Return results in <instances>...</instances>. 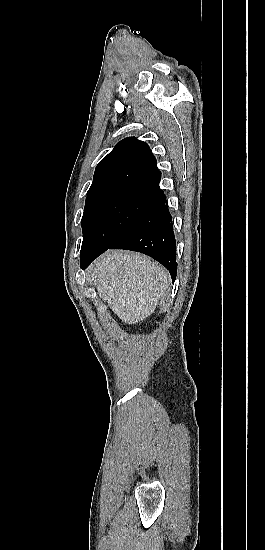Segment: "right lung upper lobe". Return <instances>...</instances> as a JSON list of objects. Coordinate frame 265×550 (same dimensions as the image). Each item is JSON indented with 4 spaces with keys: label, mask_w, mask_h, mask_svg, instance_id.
I'll list each match as a JSON object with an SVG mask.
<instances>
[{
    "label": "right lung upper lobe",
    "mask_w": 265,
    "mask_h": 550,
    "mask_svg": "<svg viewBox=\"0 0 265 550\" xmlns=\"http://www.w3.org/2000/svg\"><path fill=\"white\" fill-rule=\"evenodd\" d=\"M161 172L149 146L134 137L119 142L97 165L87 198L129 187H159Z\"/></svg>",
    "instance_id": "obj_1"
}]
</instances>
